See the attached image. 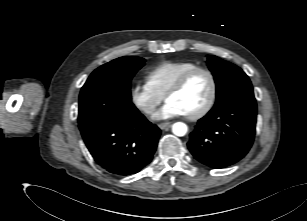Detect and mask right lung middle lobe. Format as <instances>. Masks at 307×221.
Returning a JSON list of instances; mask_svg holds the SVG:
<instances>
[{
  "label": "right lung middle lobe",
  "mask_w": 307,
  "mask_h": 221,
  "mask_svg": "<svg viewBox=\"0 0 307 221\" xmlns=\"http://www.w3.org/2000/svg\"><path fill=\"white\" fill-rule=\"evenodd\" d=\"M144 62L136 56L120 57L100 66L89 76L79 96L80 130L99 118L123 116L136 110L130 81Z\"/></svg>",
  "instance_id": "right-lung-middle-lobe-1"
}]
</instances>
